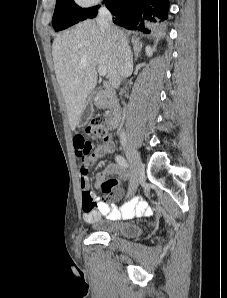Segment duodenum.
Listing matches in <instances>:
<instances>
[{
    "instance_id": "duodenum-1",
    "label": "duodenum",
    "mask_w": 227,
    "mask_h": 298,
    "mask_svg": "<svg viewBox=\"0 0 227 298\" xmlns=\"http://www.w3.org/2000/svg\"><path fill=\"white\" fill-rule=\"evenodd\" d=\"M97 105L100 108L109 110L106 117V123L110 128H116L120 119V107L114 96L109 92L99 93L97 96Z\"/></svg>"
}]
</instances>
